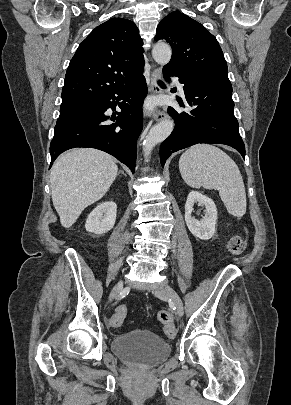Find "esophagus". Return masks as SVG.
Listing matches in <instances>:
<instances>
[{"label": "esophagus", "instance_id": "34e87169", "mask_svg": "<svg viewBox=\"0 0 291 405\" xmlns=\"http://www.w3.org/2000/svg\"><path fill=\"white\" fill-rule=\"evenodd\" d=\"M162 78L161 68H155L151 73V88L154 94L162 93V88L159 86L158 81ZM168 115L165 110H157L155 113L156 121H162L167 119Z\"/></svg>", "mask_w": 291, "mask_h": 405}]
</instances>
